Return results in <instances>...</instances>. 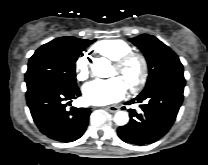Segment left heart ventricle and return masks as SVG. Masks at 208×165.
<instances>
[{
    "label": "left heart ventricle",
    "mask_w": 208,
    "mask_h": 165,
    "mask_svg": "<svg viewBox=\"0 0 208 165\" xmlns=\"http://www.w3.org/2000/svg\"><path fill=\"white\" fill-rule=\"evenodd\" d=\"M140 70V63L137 60H131L121 70H118L114 66H112L109 76H116L120 78L127 88L130 85H133L139 79Z\"/></svg>",
    "instance_id": "obj_1"
}]
</instances>
